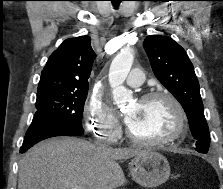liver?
Returning <instances> with one entry per match:
<instances>
[{"label": "liver", "mask_w": 223, "mask_h": 189, "mask_svg": "<svg viewBox=\"0 0 223 189\" xmlns=\"http://www.w3.org/2000/svg\"><path fill=\"white\" fill-rule=\"evenodd\" d=\"M143 151L132 148H101L69 137L42 141L19 162L18 189H69L68 183L84 189H114L126 182L116 160L132 158Z\"/></svg>", "instance_id": "liver-1"}]
</instances>
